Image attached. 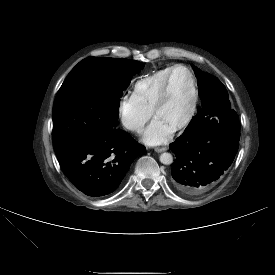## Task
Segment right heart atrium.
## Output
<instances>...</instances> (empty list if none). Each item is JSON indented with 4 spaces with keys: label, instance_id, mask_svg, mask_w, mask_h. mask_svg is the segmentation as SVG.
<instances>
[{
    "label": "right heart atrium",
    "instance_id": "1",
    "mask_svg": "<svg viewBox=\"0 0 275 275\" xmlns=\"http://www.w3.org/2000/svg\"><path fill=\"white\" fill-rule=\"evenodd\" d=\"M117 116L125 130L140 133L151 118L152 110L143 107L132 95H126L118 102Z\"/></svg>",
    "mask_w": 275,
    "mask_h": 275
}]
</instances>
